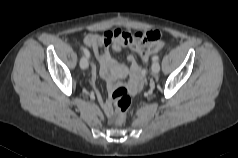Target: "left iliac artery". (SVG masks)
Segmentation results:
<instances>
[{
	"label": "left iliac artery",
	"instance_id": "44dca946",
	"mask_svg": "<svg viewBox=\"0 0 238 158\" xmlns=\"http://www.w3.org/2000/svg\"><path fill=\"white\" fill-rule=\"evenodd\" d=\"M153 61H158L159 60V56L158 55H155L153 58H152Z\"/></svg>",
	"mask_w": 238,
	"mask_h": 158
}]
</instances>
